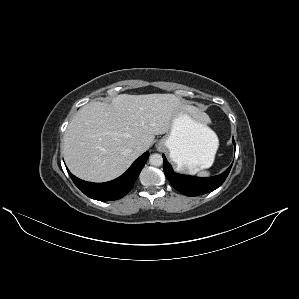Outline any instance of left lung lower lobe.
Wrapping results in <instances>:
<instances>
[{
  "label": "left lung lower lobe",
  "instance_id": "left-lung-lower-lobe-1",
  "mask_svg": "<svg viewBox=\"0 0 299 299\" xmlns=\"http://www.w3.org/2000/svg\"><path fill=\"white\" fill-rule=\"evenodd\" d=\"M233 143L235 145L234 139ZM162 156L164 173L171 185L182 194L191 197L205 194L217 189L223 184L232 167L231 165L222 174L217 176L206 178L193 177L175 173L171 165L166 160L165 155L163 154Z\"/></svg>",
  "mask_w": 299,
  "mask_h": 299
}]
</instances>
